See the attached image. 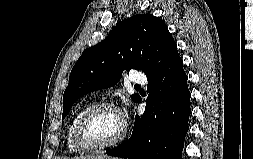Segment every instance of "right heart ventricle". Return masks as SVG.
Here are the masks:
<instances>
[{
  "mask_svg": "<svg viewBox=\"0 0 253 159\" xmlns=\"http://www.w3.org/2000/svg\"><path fill=\"white\" fill-rule=\"evenodd\" d=\"M92 105V103H85L82 105L71 117L70 122L67 127L66 132V140H67V146L68 149L72 152H78L81 149L76 145L75 139H74V133L76 124L79 121L82 114Z\"/></svg>",
  "mask_w": 253,
  "mask_h": 159,
  "instance_id": "1",
  "label": "right heart ventricle"
}]
</instances>
